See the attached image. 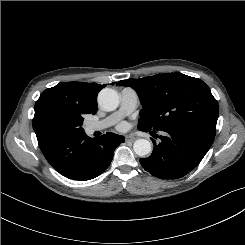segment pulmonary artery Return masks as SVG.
Instances as JSON below:
<instances>
[{
  "label": "pulmonary artery",
  "mask_w": 245,
  "mask_h": 245,
  "mask_svg": "<svg viewBox=\"0 0 245 245\" xmlns=\"http://www.w3.org/2000/svg\"><path fill=\"white\" fill-rule=\"evenodd\" d=\"M138 102H139V98L135 90L129 87L122 89L120 93L119 110L100 121H94L88 123L86 125V131L88 133H93L95 131H100L112 126L113 124L118 122L121 118L134 111L138 105Z\"/></svg>",
  "instance_id": "e3ab8cb5"
}]
</instances>
